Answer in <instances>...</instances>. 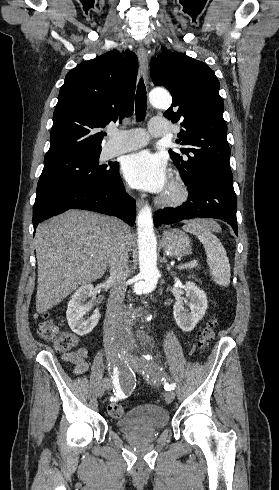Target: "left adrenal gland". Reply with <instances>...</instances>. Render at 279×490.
<instances>
[{"mask_svg":"<svg viewBox=\"0 0 279 490\" xmlns=\"http://www.w3.org/2000/svg\"><path fill=\"white\" fill-rule=\"evenodd\" d=\"M163 262H167L165 256H163ZM168 270H170L169 266H168Z\"/></svg>","mask_w":279,"mask_h":490,"instance_id":"a2214340","label":"left adrenal gland"}]
</instances>
